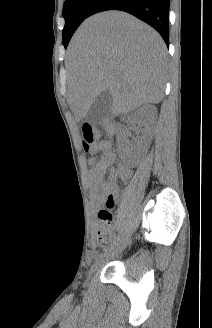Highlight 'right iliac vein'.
I'll use <instances>...</instances> for the list:
<instances>
[{"mask_svg":"<svg viewBox=\"0 0 212 328\" xmlns=\"http://www.w3.org/2000/svg\"><path fill=\"white\" fill-rule=\"evenodd\" d=\"M126 246L125 240L120 241L115 247H113L111 250L105 252L104 254L98 256L91 266V269L89 271V277H91L92 274H94L102 265L103 263L111 258L120 253Z\"/></svg>","mask_w":212,"mask_h":328,"instance_id":"63e3f726","label":"right iliac vein"}]
</instances>
